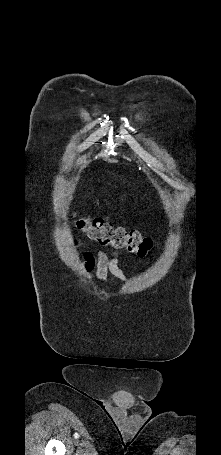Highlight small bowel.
<instances>
[{
	"mask_svg": "<svg viewBox=\"0 0 221 455\" xmlns=\"http://www.w3.org/2000/svg\"><path fill=\"white\" fill-rule=\"evenodd\" d=\"M121 262L117 254L99 250L95 253L84 252L80 265L86 274L93 275L101 283L107 282L108 275L127 283L128 277L120 267Z\"/></svg>",
	"mask_w": 221,
	"mask_h": 455,
	"instance_id": "c3829d8e",
	"label": "small bowel"
}]
</instances>
